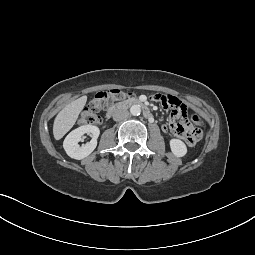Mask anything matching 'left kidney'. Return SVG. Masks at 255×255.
<instances>
[{
    "mask_svg": "<svg viewBox=\"0 0 255 255\" xmlns=\"http://www.w3.org/2000/svg\"><path fill=\"white\" fill-rule=\"evenodd\" d=\"M170 148L172 153L177 157H183L187 153V147L185 143L179 139H171Z\"/></svg>",
    "mask_w": 255,
    "mask_h": 255,
    "instance_id": "1",
    "label": "left kidney"
}]
</instances>
